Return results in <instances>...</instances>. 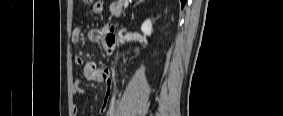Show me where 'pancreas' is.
<instances>
[{
	"label": "pancreas",
	"instance_id": "pancreas-1",
	"mask_svg": "<svg viewBox=\"0 0 283 116\" xmlns=\"http://www.w3.org/2000/svg\"><path fill=\"white\" fill-rule=\"evenodd\" d=\"M124 2V0H118L110 5L109 10L112 16L119 17L121 15Z\"/></svg>",
	"mask_w": 283,
	"mask_h": 116
}]
</instances>
